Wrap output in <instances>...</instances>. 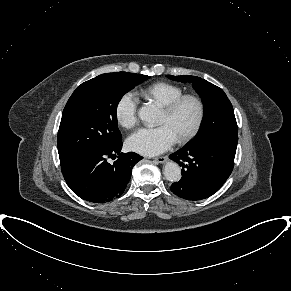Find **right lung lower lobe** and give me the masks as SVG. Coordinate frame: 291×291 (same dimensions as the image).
I'll return each mask as SVG.
<instances>
[{"instance_id":"98d812e1","label":"right lung lower lobe","mask_w":291,"mask_h":291,"mask_svg":"<svg viewBox=\"0 0 291 291\" xmlns=\"http://www.w3.org/2000/svg\"><path fill=\"white\" fill-rule=\"evenodd\" d=\"M122 142L81 154L62 167L67 185L80 198L105 203L123 194L133 166L142 159L134 152L120 153ZM113 164L108 158H116Z\"/></svg>"}]
</instances>
